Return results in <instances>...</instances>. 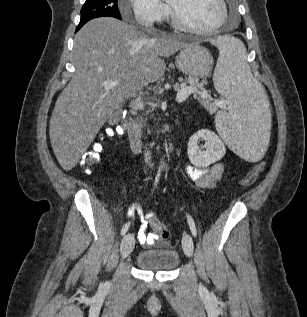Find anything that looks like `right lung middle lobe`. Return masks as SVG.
Wrapping results in <instances>:
<instances>
[{
	"label": "right lung middle lobe",
	"mask_w": 307,
	"mask_h": 317,
	"mask_svg": "<svg viewBox=\"0 0 307 317\" xmlns=\"http://www.w3.org/2000/svg\"><path fill=\"white\" fill-rule=\"evenodd\" d=\"M106 16L121 19L117 0H86L81 9L79 24L84 25L93 18Z\"/></svg>",
	"instance_id": "obj_1"
}]
</instances>
